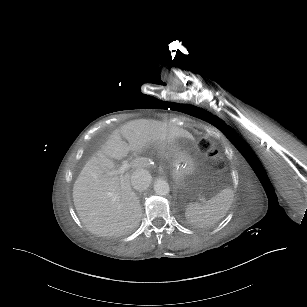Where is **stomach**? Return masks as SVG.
I'll list each match as a JSON object with an SVG mask.
<instances>
[{
  "label": "stomach",
  "mask_w": 307,
  "mask_h": 307,
  "mask_svg": "<svg viewBox=\"0 0 307 307\" xmlns=\"http://www.w3.org/2000/svg\"><path fill=\"white\" fill-rule=\"evenodd\" d=\"M199 156L200 150L194 141L183 139L180 142L175 152L172 172L180 187L187 188L193 184Z\"/></svg>",
  "instance_id": "0dacf381"
}]
</instances>
